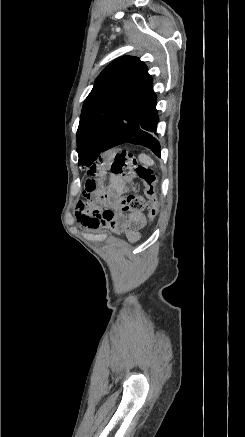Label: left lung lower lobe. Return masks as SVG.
<instances>
[{
  "instance_id": "obj_1",
  "label": "left lung lower lobe",
  "mask_w": 245,
  "mask_h": 437,
  "mask_svg": "<svg viewBox=\"0 0 245 437\" xmlns=\"http://www.w3.org/2000/svg\"><path fill=\"white\" fill-rule=\"evenodd\" d=\"M158 120L156 95L149 77L112 126L101 152L123 143H132L150 148L160 156V145L154 135Z\"/></svg>"
}]
</instances>
